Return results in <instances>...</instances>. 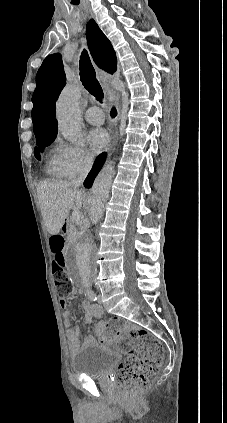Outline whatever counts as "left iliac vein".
I'll return each mask as SVG.
<instances>
[{
	"mask_svg": "<svg viewBox=\"0 0 227 423\" xmlns=\"http://www.w3.org/2000/svg\"><path fill=\"white\" fill-rule=\"evenodd\" d=\"M97 301H98L99 303H101V302H102V296H101V294H98V296H97Z\"/></svg>",
	"mask_w": 227,
	"mask_h": 423,
	"instance_id": "left-iliac-vein-1",
	"label": "left iliac vein"
}]
</instances>
